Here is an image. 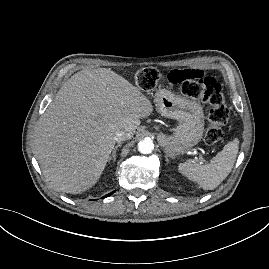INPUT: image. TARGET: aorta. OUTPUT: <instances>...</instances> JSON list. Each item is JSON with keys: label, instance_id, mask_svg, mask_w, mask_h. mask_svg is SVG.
<instances>
[{"label": "aorta", "instance_id": "1", "mask_svg": "<svg viewBox=\"0 0 269 269\" xmlns=\"http://www.w3.org/2000/svg\"><path fill=\"white\" fill-rule=\"evenodd\" d=\"M154 149V143L151 139L145 138L138 143V150L142 154H149Z\"/></svg>", "mask_w": 269, "mask_h": 269}]
</instances>
